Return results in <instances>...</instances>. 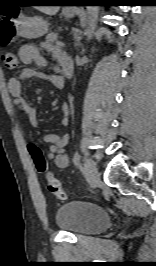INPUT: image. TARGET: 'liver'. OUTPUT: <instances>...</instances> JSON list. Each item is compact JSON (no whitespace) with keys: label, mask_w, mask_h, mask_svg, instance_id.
Returning <instances> with one entry per match:
<instances>
[{"label":"liver","mask_w":156,"mask_h":266,"mask_svg":"<svg viewBox=\"0 0 156 266\" xmlns=\"http://www.w3.org/2000/svg\"><path fill=\"white\" fill-rule=\"evenodd\" d=\"M37 10L47 15H55L59 11V6H38Z\"/></svg>","instance_id":"liver-1"}]
</instances>
